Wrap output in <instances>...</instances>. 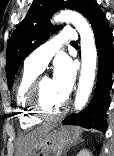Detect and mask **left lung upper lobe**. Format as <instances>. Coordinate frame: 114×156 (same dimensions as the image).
I'll use <instances>...</instances> for the list:
<instances>
[{
    "mask_svg": "<svg viewBox=\"0 0 114 156\" xmlns=\"http://www.w3.org/2000/svg\"><path fill=\"white\" fill-rule=\"evenodd\" d=\"M94 0H34L29 12L13 32L7 45L6 75L11 89L18 67L48 35L61 26H53L49 19L61 9H75L88 18Z\"/></svg>",
    "mask_w": 114,
    "mask_h": 156,
    "instance_id": "5c2ea615",
    "label": "left lung upper lobe"
}]
</instances>
